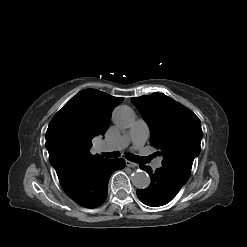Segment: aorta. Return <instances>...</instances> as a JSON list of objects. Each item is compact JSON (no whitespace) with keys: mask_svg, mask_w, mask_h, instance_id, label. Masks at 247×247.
<instances>
[{"mask_svg":"<svg viewBox=\"0 0 247 247\" xmlns=\"http://www.w3.org/2000/svg\"><path fill=\"white\" fill-rule=\"evenodd\" d=\"M112 120L117 127L127 129L133 125L135 113L129 106H118L113 111ZM131 181L138 189L147 188L151 182L149 175L142 170L134 172L131 175Z\"/></svg>","mask_w":247,"mask_h":247,"instance_id":"1","label":"aorta"}]
</instances>
